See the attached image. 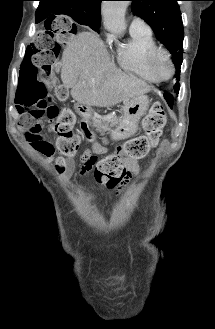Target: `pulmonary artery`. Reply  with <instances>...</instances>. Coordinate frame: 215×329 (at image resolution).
<instances>
[{
	"instance_id": "pulmonary-artery-1",
	"label": "pulmonary artery",
	"mask_w": 215,
	"mask_h": 329,
	"mask_svg": "<svg viewBox=\"0 0 215 329\" xmlns=\"http://www.w3.org/2000/svg\"><path fill=\"white\" fill-rule=\"evenodd\" d=\"M129 30L130 32H151L150 26L140 17H134L131 20Z\"/></svg>"
}]
</instances>
